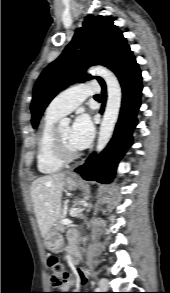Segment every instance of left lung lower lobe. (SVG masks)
<instances>
[{"instance_id": "obj_1", "label": "left lung lower lobe", "mask_w": 170, "mask_h": 293, "mask_svg": "<svg viewBox=\"0 0 170 293\" xmlns=\"http://www.w3.org/2000/svg\"><path fill=\"white\" fill-rule=\"evenodd\" d=\"M111 70L118 77L123 93L122 107L114 136L104 151L96 156L92 154L87 161L75 169L86 180L100 183L110 182L114 178L117 163L132 142V132L137 125V112L142 94L141 71L130 48L115 62ZM102 86L103 99H106L105 83ZM105 106V101L102 107ZM103 112V109L100 111Z\"/></svg>"}]
</instances>
